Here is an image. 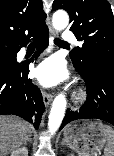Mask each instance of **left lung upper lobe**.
Instances as JSON below:
<instances>
[{"label": "left lung upper lobe", "mask_w": 114, "mask_h": 156, "mask_svg": "<svg viewBox=\"0 0 114 156\" xmlns=\"http://www.w3.org/2000/svg\"><path fill=\"white\" fill-rule=\"evenodd\" d=\"M53 10L70 16V30L84 41L71 54L73 64L85 69L92 63L114 68V18L107 0H55Z\"/></svg>", "instance_id": "1"}]
</instances>
